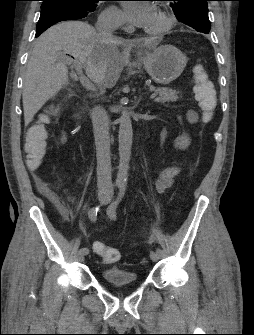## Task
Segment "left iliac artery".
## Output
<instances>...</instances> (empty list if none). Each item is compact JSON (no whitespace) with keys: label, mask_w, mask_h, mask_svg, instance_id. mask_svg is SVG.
Returning <instances> with one entry per match:
<instances>
[{"label":"left iliac artery","mask_w":254,"mask_h":335,"mask_svg":"<svg viewBox=\"0 0 254 335\" xmlns=\"http://www.w3.org/2000/svg\"><path fill=\"white\" fill-rule=\"evenodd\" d=\"M125 191H126V183L119 184L118 196L116 200L107 208V214L111 219L115 220L117 218V207L124 198ZM155 251L159 256H162L164 254V250L160 247H156Z\"/></svg>","instance_id":"obj_1"}]
</instances>
